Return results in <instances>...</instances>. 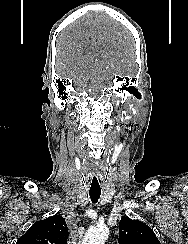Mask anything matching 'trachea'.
Masks as SVG:
<instances>
[{
    "label": "trachea",
    "instance_id": "obj_1",
    "mask_svg": "<svg viewBox=\"0 0 188 244\" xmlns=\"http://www.w3.org/2000/svg\"><path fill=\"white\" fill-rule=\"evenodd\" d=\"M102 180H91V183H89V196L92 201V203H96L101 195L102 192Z\"/></svg>",
    "mask_w": 188,
    "mask_h": 244
}]
</instances>
